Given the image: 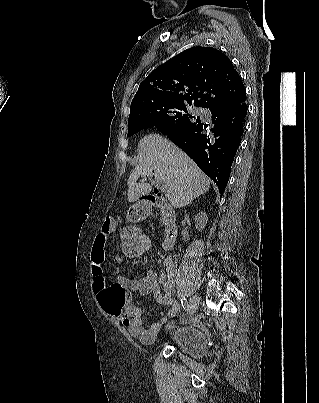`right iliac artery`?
<instances>
[{
	"instance_id": "obj_1",
	"label": "right iliac artery",
	"mask_w": 319,
	"mask_h": 403,
	"mask_svg": "<svg viewBox=\"0 0 319 403\" xmlns=\"http://www.w3.org/2000/svg\"><path fill=\"white\" fill-rule=\"evenodd\" d=\"M179 297L181 300L182 307L184 308V310L188 311L189 305H188V302L186 301L185 297H182V296H179Z\"/></svg>"
}]
</instances>
